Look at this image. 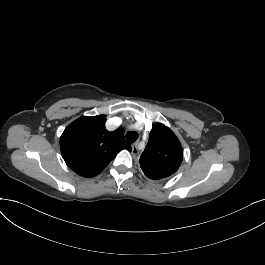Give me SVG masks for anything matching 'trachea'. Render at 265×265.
<instances>
[{"label":"trachea","mask_w":265,"mask_h":265,"mask_svg":"<svg viewBox=\"0 0 265 265\" xmlns=\"http://www.w3.org/2000/svg\"><path fill=\"white\" fill-rule=\"evenodd\" d=\"M138 138V133L137 132H134V131H129L126 133V140L129 142V143H133L137 140Z\"/></svg>","instance_id":"1"}]
</instances>
